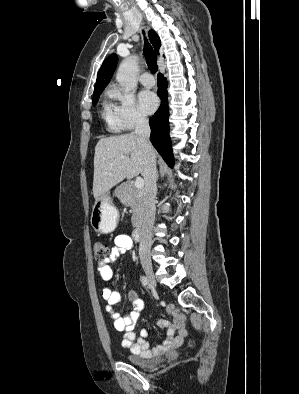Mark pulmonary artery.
<instances>
[{
	"label": "pulmonary artery",
	"instance_id": "1",
	"mask_svg": "<svg viewBox=\"0 0 299 394\" xmlns=\"http://www.w3.org/2000/svg\"><path fill=\"white\" fill-rule=\"evenodd\" d=\"M140 82L145 87H152L155 84V79H154V77H153V75L151 73L144 72L140 76Z\"/></svg>",
	"mask_w": 299,
	"mask_h": 394
}]
</instances>
